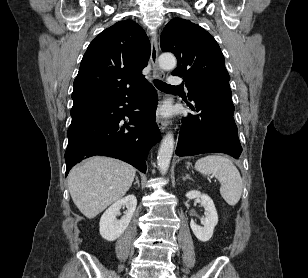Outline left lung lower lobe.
<instances>
[{
    "label": "left lung lower lobe",
    "mask_w": 308,
    "mask_h": 278,
    "mask_svg": "<svg viewBox=\"0 0 308 278\" xmlns=\"http://www.w3.org/2000/svg\"><path fill=\"white\" fill-rule=\"evenodd\" d=\"M195 107L187 103L195 114L182 119L176 148L178 156L221 152L239 158L242 147L238 138L229 83L203 89L192 96Z\"/></svg>",
    "instance_id": "1"
}]
</instances>
